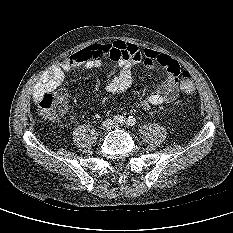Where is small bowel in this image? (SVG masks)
I'll list each match as a JSON object with an SVG mask.
<instances>
[{
	"label": "small bowel",
	"mask_w": 233,
	"mask_h": 233,
	"mask_svg": "<svg viewBox=\"0 0 233 233\" xmlns=\"http://www.w3.org/2000/svg\"><path fill=\"white\" fill-rule=\"evenodd\" d=\"M105 58H110L120 67V71L110 72L107 90L112 94L124 93L132 83L131 66L142 63L146 68L162 67L165 78L156 90L138 102L137 107L148 110L153 105L173 102L179 93V63L169 55L152 50H140L136 45L122 41L112 43H95L81 49L64 61L52 66L36 86L34 97L58 88L65 79L66 73L77 67L86 69L97 68Z\"/></svg>",
	"instance_id": "1"
}]
</instances>
